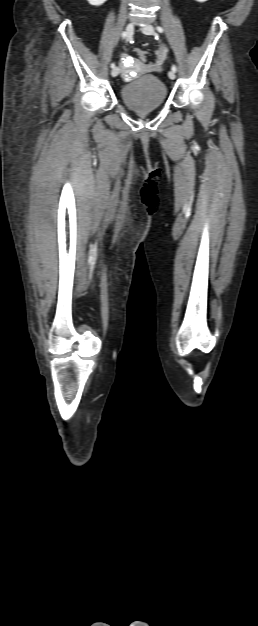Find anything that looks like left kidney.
Masks as SVG:
<instances>
[{"label":"left kidney","mask_w":258,"mask_h":626,"mask_svg":"<svg viewBox=\"0 0 258 626\" xmlns=\"http://www.w3.org/2000/svg\"><path fill=\"white\" fill-rule=\"evenodd\" d=\"M195 1H197V2H206L208 0H195Z\"/></svg>","instance_id":"obj_1"}]
</instances>
